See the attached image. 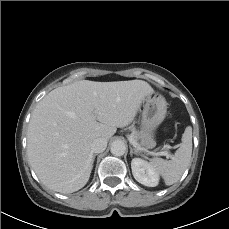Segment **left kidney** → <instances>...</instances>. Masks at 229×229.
I'll list each match as a JSON object with an SVG mask.
<instances>
[{"label":"left kidney","instance_id":"5707ae66","mask_svg":"<svg viewBox=\"0 0 229 229\" xmlns=\"http://www.w3.org/2000/svg\"><path fill=\"white\" fill-rule=\"evenodd\" d=\"M132 174L136 181L148 186L155 187L159 183V174L150 166V164L140 158H134L131 161Z\"/></svg>","mask_w":229,"mask_h":229}]
</instances>
